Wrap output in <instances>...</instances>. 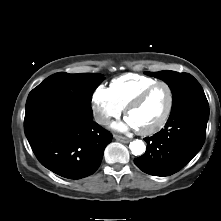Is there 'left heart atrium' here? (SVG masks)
Instances as JSON below:
<instances>
[{"label": "left heart atrium", "mask_w": 221, "mask_h": 221, "mask_svg": "<svg viewBox=\"0 0 221 221\" xmlns=\"http://www.w3.org/2000/svg\"><path fill=\"white\" fill-rule=\"evenodd\" d=\"M114 127L119 130H127L130 128H135L134 125L129 120H127V122H125V123H120L118 125H114Z\"/></svg>", "instance_id": "obj_1"}]
</instances>
